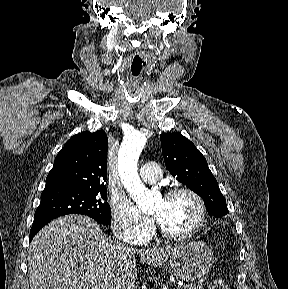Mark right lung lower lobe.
<instances>
[{
	"mask_svg": "<svg viewBox=\"0 0 288 289\" xmlns=\"http://www.w3.org/2000/svg\"><path fill=\"white\" fill-rule=\"evenodd\" d=\"M50 220L45 221H36L33 223L30 231V241L32 238L36 235V233L44 226L46 225Z\"/></svg>",
	"mask_w": 288,
	"mask_h": 289,
	"instance_id": "obj_1",
	"label": "right lung lower lobe"
}]
</instances>
